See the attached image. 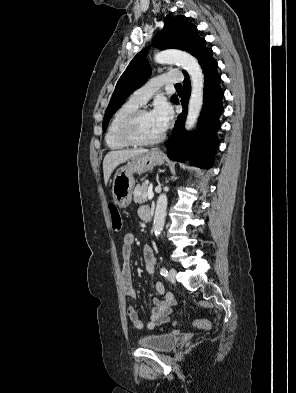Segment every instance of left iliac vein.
Wrapping results in <instances>:
<instances>
[{
	"label": "left iliac vein",
	"mask_w": 296,
	"mask_h": 393,
	"mask_svg": "<svg viewBox=\"0 0 296 393\" xmlns=\"http://www.w3.org/2000/svg\"><path fill=\"white\" fill-rule=\"evenodd\" d=\"M169 281L174 283L176 280V270L174 268H171L169 270V275H168Z\"/></svg>",
	"instance_id": "left-iliac-vein-1"
}]
</instances>
